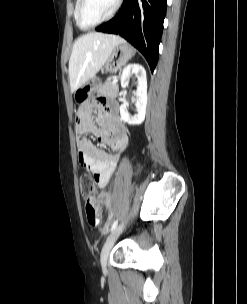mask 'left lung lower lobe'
<instances>
[{
  "label": "left lung lower lobe",
  "instance_id": "left-lung-lower-lobe-1",
  "mask_svg": "<svg viewBox=\"0 0 247 304\" xmlns=\"http://www.w3.org/2000/svg\"><path fill=\"white\" fill-rule=\"evenodd\" d=\"M166 8L167 0H124L119 13L96 30L125 38L144 55L153 72Z\"/></svg>",
  "mask_w": 247,
  "mask_h": 304
}]
</instances>
